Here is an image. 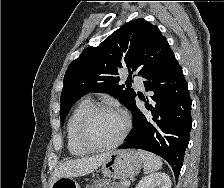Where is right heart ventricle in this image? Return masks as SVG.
<instances>
[{"instance_id":"obj_1","label":"right heart ventricle","mask_w":224,"mask_h":188,"mask_svg":"<svg viewBox=\"0 0 224 188\" xmlns=\"http://www.w3.org/2000/svg\"><path fill=\"white\" fill-rule=\"evenodd\" d=\"M92 106L93 102L90 98H83L69 116L66 126V141L68 151L72 156H83L89 152L79 143L77 132L82 117Z\"/></svg>"}]
</instances>
